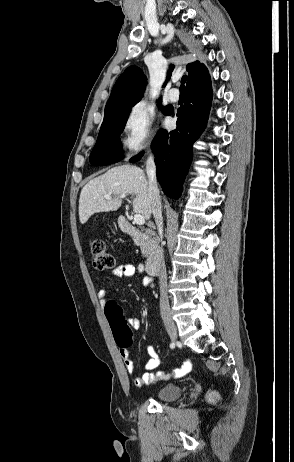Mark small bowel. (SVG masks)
<instances>
[{"instance_id": "small-bowel-1", "label": "small bowel", "mask_w": 294, "mask_h": 462, "mask_svg": "<svg viewBox=\"0 0 294 462\" xmlns=\"http://www.w3.org/2000/svg\"><path fill=\"white\" fill-rule=\"evenodd\" d=\"M142 265H134L133 263H124L115 268L112 271V275L115 277H132L136 274V272L142 271ZM151 279L149 277H145L143 279V284L148 285L150 284ZM109 296V291L107 289H101L98 292V297L101 299L102 305L105 306L106 298ZM129 325L134 329H139L141 327V320L137 317H132L128 319ZM120 349V356L122 361L126 367V370L129 374L134 373V363L131 358V354L126 346L119 345ZM147 354L149 356V360L145 365V371L142 375H135L133 377V383L136 387H142L146 384L158 382L164 379L169 378L170 376L174 378H180L186 375L191 368V364L189 361H185L180 368L175 369L171 374H167L164 371H157L153 372L160 363L159 356L155 349L151 345H147L146 347Z\"/></svg>"}]
</instances>
